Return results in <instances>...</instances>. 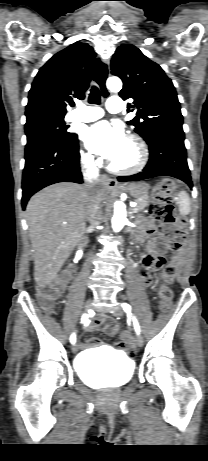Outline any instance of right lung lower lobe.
Wrapping results in <instances>:
<instances>
[{
    "label": "right lung lower lobe",
    "mask_w": 208,
    "mask_h": 461,
    "mask_svg": "<svg viewBox=\"0 0 208 461\" xmlns=\"http://www.w3.org/2000/svg\"><path fill=\"white\" fill-rule=\"evenodd\" d=\"M79 143L43 137L25 148L22 207L40 189L57 182L82 183Z\"/></svg>",
    "instance_id": "1"
}]
</instances>
